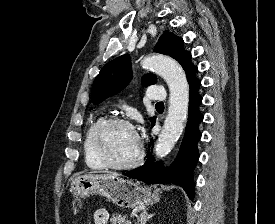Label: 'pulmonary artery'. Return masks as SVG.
<instances>
[{
	"instance_id": "1",
	"label": "pulmonary artery",
	"mask_w": 275,
	"mask_h": 224,
	"mask_svg": "<svg viewBox=\"0 0 275 224\" xmlns=\"http://www.w3.org/2000/svg\"><path fill=\"white\" fill-rule=\"evenodd\" d=\"M147 96L152 101H164L166 99V91L162 87H150L147 90Z\"/></svg>"
}]
</instances>
